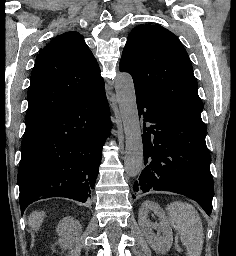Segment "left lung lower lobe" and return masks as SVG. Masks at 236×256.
I'll list each match as a JSON object with an SVG mask.
<instances>
[{"label":"left lung lower lobe","instance_id":"obj_1","mask_svg":"<svg viewBox=\"0 0 236 256\" xmlns=\"http://www.w3.org/2000/svg\"><path fill=\"white\" fill-rule=\"evenodd\" d=\"M139 118L143 120L145 168L134 184L136 193L165 190L195 201L207 214L214 195L210 153L201 118L136 93ZM145 122L153 125L146 127ZM133 198H135L133 196Z\"/></svg>","mask_w":236,"mask_h":256}]
</instances>
